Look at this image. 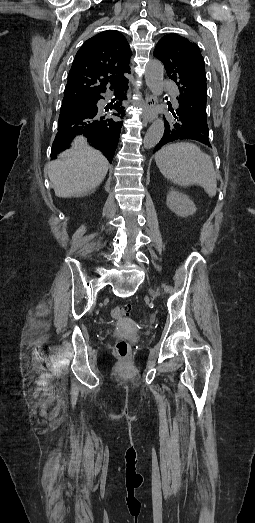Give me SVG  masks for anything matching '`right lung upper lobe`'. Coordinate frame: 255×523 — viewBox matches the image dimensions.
I'll use <instances>...</instances> for the list:
<instances>
[{"label":"right lung upper lobe","instance_id":"obj_1","mask_svg":"<svg viewBox=\"0 0 255 523\" xmlns=\"http://www.w3.org/2000/svg\"><path fill=\"white\" fill-rule=\"evenodd\" d=\"M132 52L126 38L119 32L108 30L88 39L78 50L69 71L68 82L59 115L58 133L52 145L51 158L69 147L72 139L83 134L84 122L79 118V108L97 104L100 119L93 122L94 140L90 142L112 162L122 127L123 96L116 103L102 102L101 94L107 89L115 93L127 89Z\"/></svg>","mask_w":255,"mask_h":523}]
</instances>
